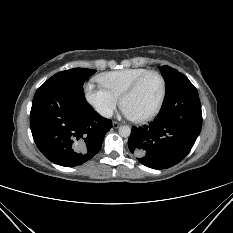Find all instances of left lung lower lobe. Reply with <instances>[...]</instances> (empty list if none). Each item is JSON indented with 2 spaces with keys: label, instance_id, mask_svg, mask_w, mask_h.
Masks as SVG:
<instances>
[{
  "label": "left lung lower lobe",
  "instance_id": "left-lung-lower-lobe-1",
  "mask_svg": "<svg viewBox=\"0 0 233 233\" xmlns=\"http://www.w3.org/2000/svg\"><path fill=\"white\" fill-rule=\"evenodd\" d=\"M202 126L199 95L182 73L177 76L156 118L133 127L128 147L139 162L153 169H166L183 160L193 147Z\"/></svg>",
  "mask_w": 233,
  "mask_h": 233
}]
</instances>
